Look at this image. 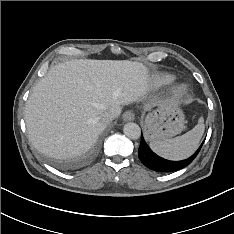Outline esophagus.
<instances>
[{
	"label": "esophagus",
	"mask_w": 234,
	"mask_h": 234,
	"mask_svg": "<svg viewBox=\"0 0 234 234\" xmlns=\"http://www.w3.org/2000/svg\"><path fill=\"white\" fill-rule=\"evenodd\" d=\"M122 118L124 121H133L135 119V114L132 110H128L124 112Z\"/></svg>",
	"instance_id": "34e87169"
}]
</instances>
